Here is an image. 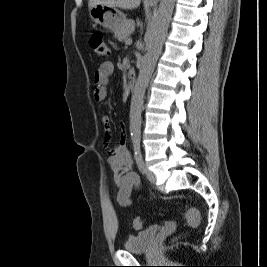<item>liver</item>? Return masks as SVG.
<instances>
[{
	"mask_svg": "<svg viewBox=\"0 0 267 267\" xmlns=\"http://www.w3.org/2000/svg\"><path fill=\"white\" fill-rule=\"evenodd\" d=\"M141 0H89V9L95 5H105L113 8L133 10L139 7Z\"/></svg>",
	"mask_w": 267,
	"mask_h": 267,
	"instance_id": "liver-1",
	"label": "liver"
}]
</instances>
